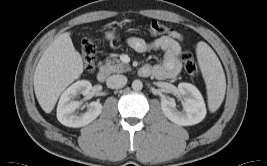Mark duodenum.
Returning a JSON list of instances; mask_svg holds the SVG:
<instances>
[{
    "label": "duodenum",
    "instance_id": "obj_1",
    "mask_svg": "<svg viewBox=\"0 0 267 166\" xmlns=\"http://www.w3.org/2000/svg\"><path fill=\"white\" fill-rule=\"evenodd\" d=\"M107 77V72L104 68H100L96 74V78L99 82H104Z\"/></svg>",
    "mask_w": 267,
    "mask_h": 166
}]
</instances>
